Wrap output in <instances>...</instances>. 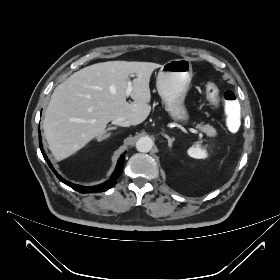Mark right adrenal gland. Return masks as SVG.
<instances>
[{
    "label": "right adrenal gland",
    "mask_w": 280,
    "mask_h": 280,
    "mask_svg": "<svg viewBox=\"0 0 280 280\" xmlns=\"http://www.w3.org/2000/svg\"><path fill=\"white\" fill-rule=\"evenodd\" d=\"M115 129H117V127H115V126H114V127H108V128L104 131L103 136H100V137H99V140L102 141V140H105V139H107L108 137H110L111 133H108V134H107V132L110 131V130H115Z\"/></svg>",
    "instance_id": "1"
}]
</instances>
